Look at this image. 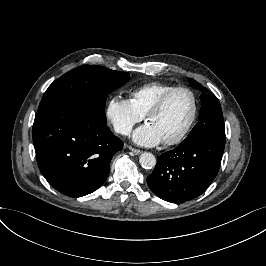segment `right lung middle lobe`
Masks as SVG:
<instances>
[{"instance_id": "dd1d6c3e", "label": "right lung middle lobe", "mask_w": 266, "mask_h": 266, "mask_svg": "<svg viewBox=\"0 0 266 266\" xmlns=\"http://www.w3.org/2000/svg\"><path fill=\"white\" fill-rule=\"evenodd\" d=\"M130 80L129 73L102 66L82 65L55 80L45 92L38 111L58 101H73L90 107L104 123L108 94Z\"/></svg>"}]
</instances>
